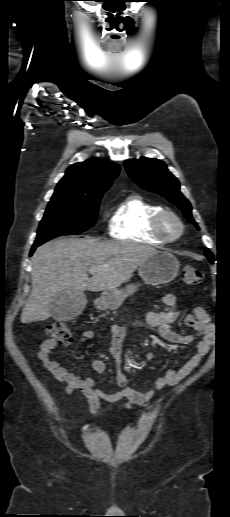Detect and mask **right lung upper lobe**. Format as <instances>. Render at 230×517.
<instances>
[{"mask_svg":"<svg viewBox=\"0 0 230 517\" xmlns=\"http://www.w3.org/2000/svg\"><path fill=\"white\" fill-rule=\"evenodd\" d=\"M119 174L114 162L92 158L70 166L59 181L52 198L93 197L104 193Z\"/></svg>","mask_w":230,"mask_h":517,"instance_id":"obj_1","label":"right lung upper lobe"}]
</instances>
